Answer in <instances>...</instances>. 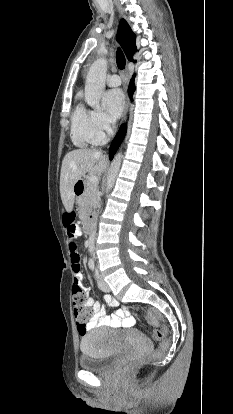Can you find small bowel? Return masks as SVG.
I'll return each instance as SVG.
<instances>
[{"label":"small bowel","mask_w":233,"mask_h":414,"mask_svg":"<svg viewBox=\"0 0 233 414\" xmlns=\"http://www.w3.org/2000/svg\"><path fill=\"white\" fill-rule=\"evenodd\" d=\"M77 236L81 235L80 231L76 232ZM79 252L73 250L70 253L72 269L74 273V283L71 285L72 293L75 295L81 294L82 291H86L87 294V306L92 311V318L90 322V327H109V328H129L135 324V318L125 309L117 308L119 303L111 295L106 294L104 296L105 305H102L100 302L95 301L92 297L88 295V291L91 290L90 284H83V274L82 267L80 266V256ZM106 306L110 308H116V310L111 314H106Z\"/></svg>","instance_id":"1"}]
</instances>
